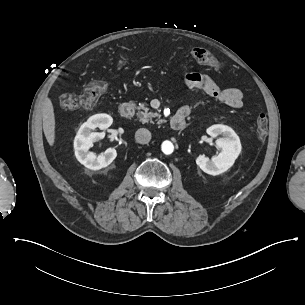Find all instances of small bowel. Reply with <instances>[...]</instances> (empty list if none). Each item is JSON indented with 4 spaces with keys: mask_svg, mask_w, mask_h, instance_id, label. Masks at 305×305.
<instances>
[{
    "mask_svg": "<svg viewBox=\"0 0 305 305\" xmlns=\"http://www.w3.org/2000/svg\"><path fill=\"white\" fill-rule=\"evenodd\" d=\"M186 85L193 91H203L224 103L231 109H240L243 105L242 92L235 87L221 88L209 75L205 73L192 72L185 76ZM194 96L190 101L182 106L178 112L190 114L194 105Z\"/></svg>",
    "mask_w": 305,
    "mask_h": 305,
    "instance_id": "c3829d8e",
    "label": "small bowel"
}]
</instances>
